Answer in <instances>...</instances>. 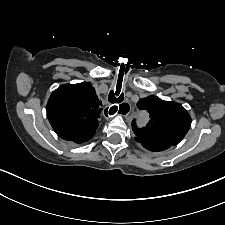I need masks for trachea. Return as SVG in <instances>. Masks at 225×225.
Returning <instances> with one entry per match:
<instances>
[{"label":"trachea","instance_id":"3493384b","mask_svg":"<svg viewBox=\"0 0 225 225\" xmlns=\"http://www.w3.org/2000/svg\"><path fill=\"white\" fill-rule=\"evenodd\" d=\"M123 99H124V95H123V93L120 94V89H116V92H114L113 90L110 91L109 97H108V100H109L110 103H112V104L113 103H121L123 101ZM125 105H127V104H125V103L121 104L119 106V108H120L119 111L123 110ZM113 108L114 109L112 110V112L109 110V113L111 115L116 113V111L118 109L117 106H113Z\"/></svg>","mask_w":225,"mask_h":225}]
</instances>
